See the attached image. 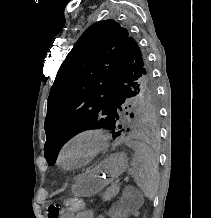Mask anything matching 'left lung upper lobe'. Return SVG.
I'll return each mask as SVG.
<instances>
[{"mask_svg":"<svg viewBox=\"0 0 211 218\" xmlns=\"http://www.w3.org/2000/svg\"><path fill=\"white\" fill-rule=\"evenodd\" d=\"M129 117L148 127L158 119L151 69L125 28L99 21L78 39L51 88L44 125L48 164L77 133L106 128L116 138Z\"/></svg>","mask_w":211,"mask_h":218,"instance_id":"obj_1","label":"left lung upper lobe"}]
</instances>
